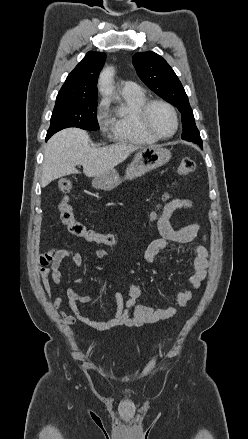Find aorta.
<instances>
[{"label": "aorta", "instance_id": "aorta-1", "mask_svg": "<svg viewBox=\"0 0 248 439\" xmlns=\"http://www.w3.org/2000/svg\"><path fill=\"white\" fill-rule=\"evenodd\" d=\"M114 72L113 67H107L100 74L99 91L105 96H110L113 93Z\"/></svg>", "mask_w": 248, "mask_h": 439}]
</instances>
